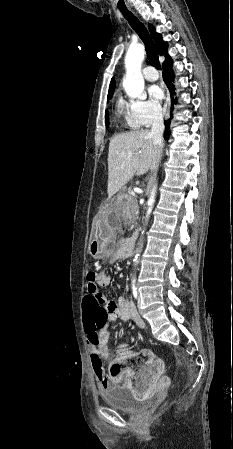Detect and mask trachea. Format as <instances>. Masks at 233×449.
<instances>
[{"label":"trachea","instance_id":"trachea-1","mask_svg":"<svg viewBox=\"0 0 233 449\" xmlns=\"http://www.w3.org/2000/svg\"><path fill=\"white\" fill-rule=\"evenodd\" d=\"M118 8L130 24V26L135 30V32L143 41L150 63L156 68L161 69L156 46L146 27L127 9L126 6H118Z\"/></svg>","mask_w":233,"mask_h":449}]
</instances>
